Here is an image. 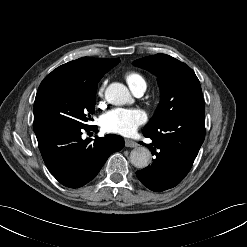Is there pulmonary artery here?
<instances>
[{
  "label": "pulmonary artery",
  "mask_w": 247,
  "mask_h": 247,
  "mask_svg": "<svg viewBox=\"0 0 247 247\" xmlns=\"http://www.w3.org/2000/svg\"><path fill=\"white\" fill-rule=\"evenodd\" d=\"M145 88L144 86H141V87H138L136 89L133 90V93L136 95V96H142L144 91H145Z\"/></svg>",
  "instance_id": "obj_1"
}]
</instances>
